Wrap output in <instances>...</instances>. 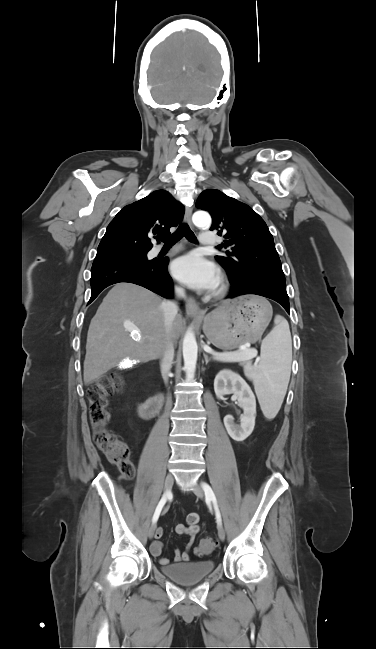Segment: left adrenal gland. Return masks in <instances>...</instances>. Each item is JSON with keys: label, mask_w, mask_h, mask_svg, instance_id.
<instances>
[{"label": "left adrenal gland", "mask_w": 376, "mask_h": 649, "mask_svg": "<svg viewBox=\"0 0 376 649\" xmlns=\"http://www.w3.org/2000/svg\"><path fill=\"white\" fill-rule=\"evenodd\" d=\"M203 355H204L205 363L207 365L210 359L208 358L207 354L204 353Z\"/></svg>", "instance_id": "1"}]
</instances>
